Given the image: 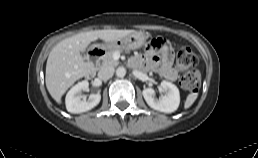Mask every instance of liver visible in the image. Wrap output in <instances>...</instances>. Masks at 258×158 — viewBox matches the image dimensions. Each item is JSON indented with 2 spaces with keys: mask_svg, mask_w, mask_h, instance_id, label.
<instances>
[{
  "mask_svg": "<svg viewBox=\"0 0 258 158\" xmlns=\"http://www.w3.org/2000/svg\"><path fill=\"white\" fill-rule=\"evenodd\" d=\"M132 32L134 30H95L78 33L60 41L51 50L46 64L45 82L52 98L61 103L67 89L78 79L90 74L92 64L84 60L81 52H84L91 42L97 39L111 42Z\"/></svg>",
  "mask_w": 258,
  "mask_h": 158,
  "instance_id": "obj_1",
  "label": "liver"
}]
</instances>
